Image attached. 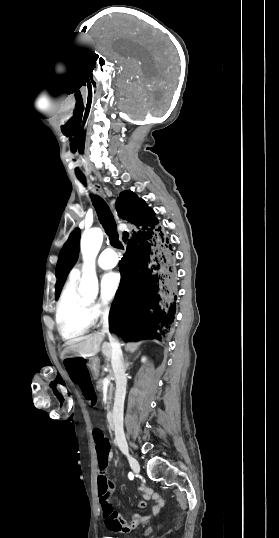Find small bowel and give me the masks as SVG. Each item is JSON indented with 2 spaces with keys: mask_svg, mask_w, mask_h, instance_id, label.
Segmentation results:
<instances>
[{
  "mask_svg": "<svg viewBox=\"0 0 279 538\" xmlns=\"http://www.w3.org/2000/svg\"><path fill=\"white\" fill-rule=\"evenodd\" d=\"M112 458V453L110 454L109 460ZM139 491L142 493L144 500L138 502V507L140 509H145L147 506V500L152 499V513L146 515L134 514L130 521H125L116 513H113L111 516H104L106 527L114 532L127 533L134 530L138 525L148 521L151 515H157L162 507L161 498L154 494L150 488L145 485L139 486Z\"/></svg>",
  "mask_w": 279,
  "mask_h": 538,
  "instance_id": "obj_1",
  "label": "small bowel"
}]
</instances>
